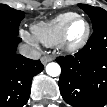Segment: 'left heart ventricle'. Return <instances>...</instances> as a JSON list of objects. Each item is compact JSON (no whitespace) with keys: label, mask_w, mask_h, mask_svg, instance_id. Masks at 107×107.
Listing matches in <instances>:
<instances>
[{"label":"left heart ventricle","mask_w":107,"mask_h":107,"mask_svg":"<svg viewBox=\"0 0 107 107\" xmlns=\"http://www.w3.org/2000/svg\"><path fill=\"white\" fill-rule=\"evenodd\" d=\"M85 31V23L82 20H75L69 30V39L73 42L79 40Z\"/></svg>","instance_id":"1"}]
</instances>
